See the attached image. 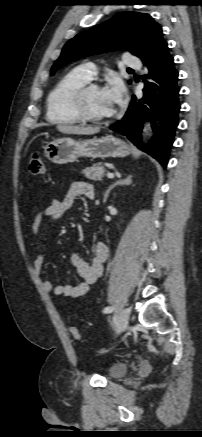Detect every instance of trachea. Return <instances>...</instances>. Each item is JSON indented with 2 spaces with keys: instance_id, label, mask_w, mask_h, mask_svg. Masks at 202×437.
Segmentation results:
<instances>
[{
  "instance_id": "obj_1",
  "label": "trachea",
  "mask_w": 202,
  "mask_h": 437,
  "mask_svg": "<svg viewBox=\"0 0 202 437\" xmlns=\"http://www.w3.org/2000/svg\"><path fill=\"white\" fill-rule=\"evenodd\" d=\"M129 71H132V69L128 68Z\"/></svg>"
}]
</instances>
